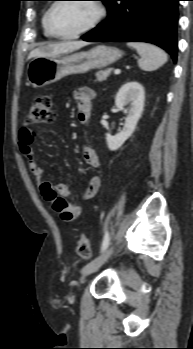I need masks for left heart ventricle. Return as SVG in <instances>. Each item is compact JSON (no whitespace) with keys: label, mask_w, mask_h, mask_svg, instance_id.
<instances>
[{"label":"left heart ventricle","mask_w":193,"mask_h":349,"mask_svg":"<svg viewBox=\"0 0 193 349\" xmlns=\"http://www.w3.org/2000/svg\"><path fill=\"white\" fill-rule=\"evenodd\" d=\"M96 15L92 2H65L54 9L51 22L57 33L67 35L87 27Z\"/></svg>","instance_id":"b2bd125f"}]
</instances>
